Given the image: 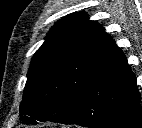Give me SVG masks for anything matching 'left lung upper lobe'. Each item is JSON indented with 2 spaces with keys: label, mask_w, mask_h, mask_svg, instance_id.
Instances as JSON below:
<instances>
[{
  "label": "left lung upper lobe",
  "mask_w": 142,
  "mask_h": 128,
  "mask_svg": "<svg viewBox=\"0 0 142 128\" xmlns=\"http://www.w3.org/2000/svg\"><path fill=\"white\" fill-rule=\"evenodd\" d=\"M121 52L84 12L58 21L32 58L20 105L22 122L66 117L85 86Z\"/></svg>",
  "instance_id": "left-lung-upper-lobe-1"
}]
</instances>
